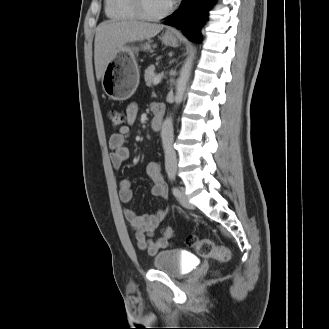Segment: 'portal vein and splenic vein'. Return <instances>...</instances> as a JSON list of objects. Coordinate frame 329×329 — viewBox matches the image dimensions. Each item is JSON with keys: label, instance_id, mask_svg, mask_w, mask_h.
<instances>
[{"label": "portal vein and splenic vein", "instance_id": "obj_1", "mask_svg": "<svg viewBox=\"0 0 329 329\" xmlns=\"http://www.w3.org/2000/svg\"><path fill=\"white\" fill-rule=\"evenodd\" d=\"M161 78H162V74L156 75L153 79V84L157 85L161 81Z\"/></svg>", "mask_w": 329, "mask_h": 329}]
</instances>
